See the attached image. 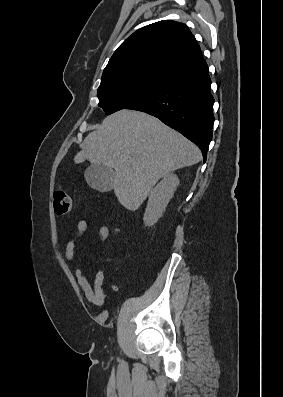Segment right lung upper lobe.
Masks as SVG:
<instances>
[{
	"label": "right lung upper lobe",
	"mask_w": 283,
	"mask_h": 397,
	"mask_svg": "<svg viewBox=\"0 0 283 397\" xmlns=\"http://www.w3.org/2000/svg\"><path fill=\"white\" fill-rule=\"evenodd\" d=\"M206 66L189 28L183 23L162 20L128 37L110 58L102 79L147 74L170 81Z\"/></svg>",
	"instance_id": "obj_1"
}]
</instances>
